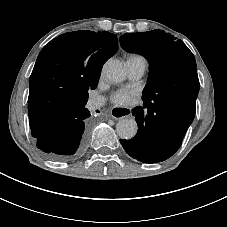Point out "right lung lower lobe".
Wrapping results in <instances>:
<instances>
[{
    "label": "right lung lower lobe",
    "mask_w": 227,
    "mask_h": 227,
    "mask_svg": "<svg viewBox=\"0 0 227 227\" xmlns=\"http://www.w3.org/2000/svg\"><path fill=\"white\" fill-rule=\"evenodd\" d=\"M86 102L72 104L67 111L68 120L61 127L36 134L37 147L50 159L66 160L81 151L87 136L86 119L90 116Z\"/></svg>",
    "instance_id": "1"
}]
</instances>
